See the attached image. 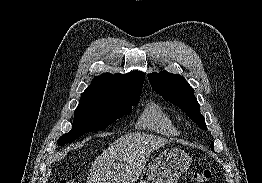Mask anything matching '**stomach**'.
Here are the masks:
<instances>
[{"mask_svg":"<svg viewBox=\"0 0 262 183\" xmlns=\"http://www.w3.org/2000/svg\"><path fill=\"white\" fill-rule=\"evenodd\" d=\"M191 157L179 148H167L144 169L139 183H177L191 165Z\"/></svg>","mask_w":262,"mask_h":183,"instance_id":"0dacf381","label":"stomach"}]
</instances>
